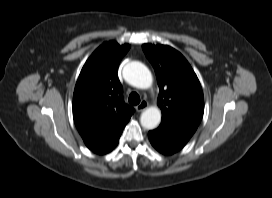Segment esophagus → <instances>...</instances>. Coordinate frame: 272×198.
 <instances>
[{"mask_svg": "<svg viewBox=\"0 0 272 198\" xmlns=\"http://www.w3.org/2000/svg\"><path fill=\"white\" fill-rule=\"evenodd\" d=\"M147 107H148V102L145 101V100H143V101L140 102V104H138V105L136 106V111H137V112H142V111H144Z\"/></svg>", "mask_w": 272, "mask_h": 198, "instance_id": "1", "label": "esophagus"}]
</instances>
